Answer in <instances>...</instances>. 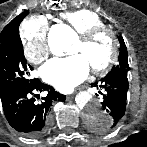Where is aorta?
Here are the masks:
<instances>
[{"instance_id": "obj_1", "label": "aorta", "mask_w": 147, "mask_h": 147, "mask_svg": "<svg viewBox=\"0 0 147 147\" xmlns=\"http://www.w3.org/2000/svg\"><path fill=\"white\" fill-rule=\"evenodd\" d=\"M74 39L75 34L69 28L62 29L58 34L50 33L48 43L52 54L60 56L71 53ZM76 102L82 109L85 120L91 125L106 124L111 119V116L103 110L99 101L87 94L79 95Z\"/></svg>"}]
</instances>
